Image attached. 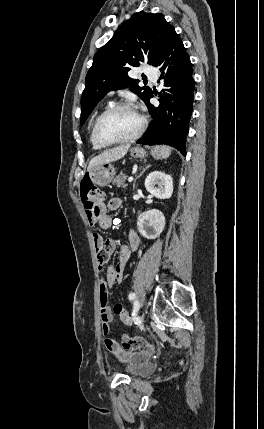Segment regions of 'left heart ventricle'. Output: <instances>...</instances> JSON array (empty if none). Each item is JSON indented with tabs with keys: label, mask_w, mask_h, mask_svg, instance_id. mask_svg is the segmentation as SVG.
Returning a JSON list of instances; mask_svg holds the SVG:
<instances>
[{
	"label": "left heart ventricle",
	"mask_w": 264,
	"mask_h": 429,
	"mask_svg": "<svg viewBox=\"0 0 264 429\" xmlns=\"http://www.w3.org/2000/svg\"><path fill=\"white\" fill-rule=\"evenodd\" d=\"M140 119L132 109H120L108 115L100 125V136L114 141L131 136L138 128Z\"/></svg>",
	"instance_id": "1"
}]
</instances>
